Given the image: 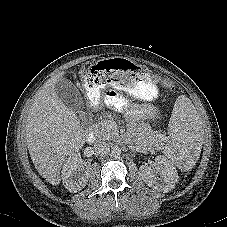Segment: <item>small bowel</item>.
Masks as SVG:
<instances>
[{
  "label": "small bowel",
  "mask_w": 227,
  "mask_h": 227,
  "mask_svg": "<svg viewBox=\"0 0 227 227\" xmlns=\"http://www.w3.org/2000/svg\"><path fill=\"white\" fill-rule=\"evenodd\" d=\"M105 100L108 107H116L122 102L120 97L111 94H108Z\"/></svg>",
  "instance_id": "c3829d8e"
}]
</instances>
